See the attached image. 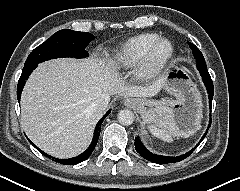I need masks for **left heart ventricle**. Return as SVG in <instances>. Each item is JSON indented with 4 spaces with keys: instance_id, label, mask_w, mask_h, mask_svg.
Listing matches in <instances>:
<instances>
[{
    "instance_id": "1",
    "label": "left heart ventricle",
    "mask_w": 240,
    "mask_h": 191,
    "mask_svg": "<svg viewBox=\"0 0 240 191\" xmlns=\"http://www.w3.org/2000/svg\"><path fill=\"white\" fill-rule=\"evenodd\" d=\"M167 48L166 44L160 45L156 51V58H161L166 53Z\"/></svg>"
}]
</instances>
